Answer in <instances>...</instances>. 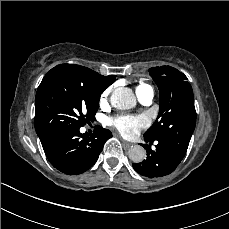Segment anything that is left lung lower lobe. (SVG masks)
<instances>
[{
  "mask_svg": "<svg viewBox=\"0 0 229 229\" xmlns=\"http://www.w3.org/2000/svg\"><path fill=\"white\" fill-rule=\"evenodd\" d=\"M144 140L149 145L155 142L156 149L153 151L149 145L141 144L147 149V159L141 163H134L133 168L143 176L156 178L172 173L186 154V152L179 150L168 142L147 138H144Z\"/></svg>",
  "mask_w": 229,
  "mask_h": 229,
  "instance_id": "left-lung-lower-lobe-1",
  "label": "left lung lower lobe"
}]
</instances>
